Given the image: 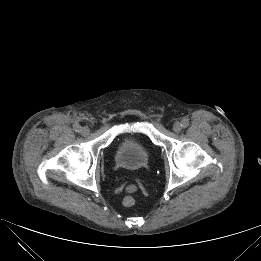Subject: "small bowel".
<instances>
[{"label":"small bowel","instance_id":"c3829d8e","mask_svg":"<svg viewBox=\"0 0 261 261\" xmlns=\"http://www.w3.org/2000/svg\"><path fill=\"white\" fill-rule=\"evenodd\" d=\"M135 190H136V188L132 185L127 187V191L130 192V193L134 192Z\"/></svg>","mask_w":261,"mask_h":261}]
</instances>
